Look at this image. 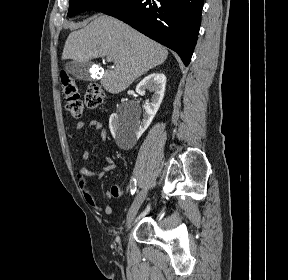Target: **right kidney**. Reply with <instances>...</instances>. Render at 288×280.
<instances>
[{"mask_svg":"<svg viewBox=\"0 0 288 280\" xmlns=\"http://www.w3.org/2000/svg\"><path fill=\"white\" fill-rule=\"evenodd\" d=\"M165 86L166 76L162 73H152L136 86L139 95H144L146 90L153 92L150 102L144 108L141 121L134 120L130 127H127L119 116L114 114L110 117V131L118 146L131 148L149 127L163 100Z\"/></svg>","mask_w":288,"mask_h":280,"instance_id":"obj_1","label":"right kidney"}]
</instances>
